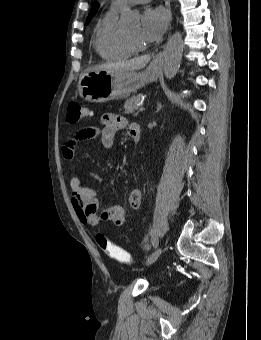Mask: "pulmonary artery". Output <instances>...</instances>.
<instances>
[{"label": "pulmonary artery", "instance_id": "obj_1", "mask_svg": "<svg viewBox=\"0 0 261 340\" xmlns=\"http://www.w3.org/2000/svg\"><path fill=\"white\" fill-rule=\"evenodd\" d=\"M150 0H113L111 3V8L120 10L126 4H144Z\"/></svg>", "mask_w": 261, "mask_h": 340}]
</instances>
